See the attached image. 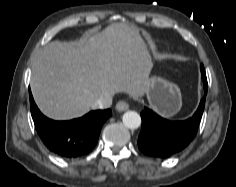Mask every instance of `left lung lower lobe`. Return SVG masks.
Masks as SVG:
<instances>
[{"label": "left lung lower lobe", "instance_id": "1", "mask_svg": "<svg viewBox=\"0 0 236 187\" xmlns=\"http://www.w3.org/2000/svg\"><path fill=\"white\" fill-rule=\"evenodd\" d=\"M200 69L203 76L205 70L203 67ZM204 91L197 111L185 121H169L145 108L141 112L142 128L138 137L140 151L149 157L167 158L187 147L194 139L202 118L207 84H204Z\"/></svg>", "mask_w": 236, "mask_h": 187}]
</instances>
